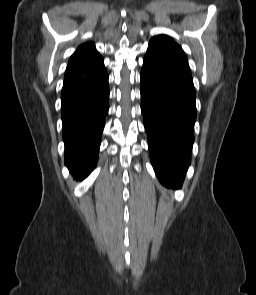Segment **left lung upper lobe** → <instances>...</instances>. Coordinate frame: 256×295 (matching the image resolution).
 Instances as JSON below:
<instances>
[{
  "mask_svg": "<svg viewBox=\"0 0 256 295\" xmlns=\"http://www.w3.org/2000/svg\"><path fill=\"white\" fill-rule=\"evenodd\" d=\"M143 64L193 82L184 51L167 35L150 40Z\"/></svg>",
  "mask_w": 256,
  "mask_h": 295,
  "instance_id": "1",
  "label": "left lung upper lobe"
}]
</instances>
